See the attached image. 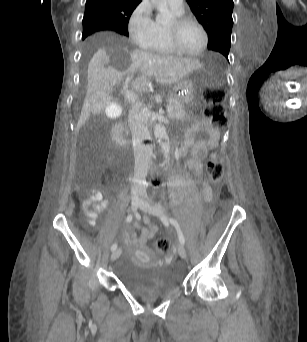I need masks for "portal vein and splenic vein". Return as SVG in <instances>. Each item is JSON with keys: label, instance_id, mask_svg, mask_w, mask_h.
Wrapping results in <instances>:
<instances>
[{"label": "portal vein and splenic vein", "instance_id": "obj_1", "mask_svg": "<svg viewBox=\"0 0 307 342\" xmlns=\"http://www.w3.org/2000/svg\"><path fill=\"white\" fill-rule=\"evenodd\" d=\"M132 81V78L130 76H127L125 78V80L123 81V84L121 85V88L123 90H126L125 95H126V99L127 101H131L133 104L138 100V95L134 94L133 92V87L132 86H128L130 84V82ZM173 108L170 106L166 107L167 111L172 110Z\"/></svg>", "mask_w": 307, "mask_h": 342}]
</instances>
